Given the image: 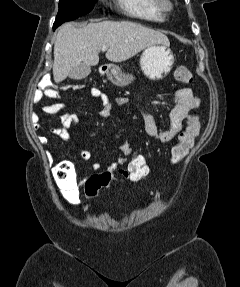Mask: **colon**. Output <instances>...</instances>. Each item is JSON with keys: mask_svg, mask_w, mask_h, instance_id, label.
Here are the masks:
<instances>
[{"mask_svg": "<svg viewBox=\"0 0 240 287\" xmlns=\"http://www.w3.org/2000/svg\"><path fill=\"white\" fill-rule=\"evenodd\" d=\"M175 79L180 83H191L192 73L185 66H178L174 72ZM75 89L84 88L83 85L74 86ZM199 133V123L196 117H189L185 129L178 135L177 143L171 149V163L178 164L187 155ZM151 174V167L146 156L136 149H132L125 166L124 177L132 182L146 180ZM54 178L66 194L71 193L76 187L74 168L68 161L56 165L53 171ZM121 183L111 173L102 172L94 174L82 184L88 201H93L101 189L117 186Z\"/></svg>", "mask_w": 240, "mask_h": 287, "instance_id": "5ec220e1", "label": "colon"}]
</instances>
